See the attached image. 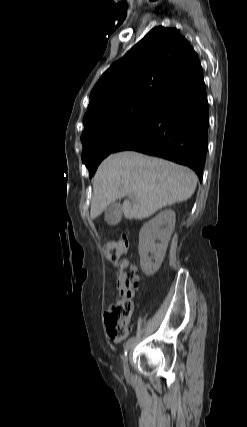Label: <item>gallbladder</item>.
I'll return each mask as SVG.
<instances>
[{
	"label": "gallbladder",
	"mask_w": 247,
	"mask_h": 427,
	"mask_svg": "<svg viewBox=\"0 0 247 427\" xmlns=\"http://www.w3.org/2000/svg\"><path fill=\"white\" fill-rule=\"evenodd\" d=\"M122 205L119 202L111 203L105 210V221L110 225H116L122 217Z\"/></svg>",
	"instance_id": "1"
}]
</instances>
